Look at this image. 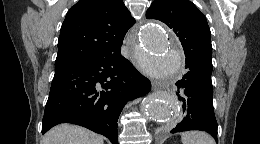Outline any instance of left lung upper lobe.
<instances>
[{"label":"left lung upper lobe","instance_id":"5c2ea615","mask_svg":"<svg viewBox=\"0 0 260 144\" xmlns=\"http://www.w3.org/2000/svg\"><path fill=\"white\" fill-rule=\"evenodd\" d=\"M148 19H157L178 36L187 61L212 69L211 32L206 17L188 0H155L146 12Z\"/></svg>","mask_w":260,"mask_h":144}]
</instances>
